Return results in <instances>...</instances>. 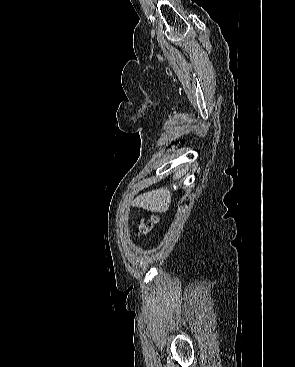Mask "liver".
I'll list each match as a JSON object with an SVG mask.
<instances>
[{
    "instance_id": "1",
    "label": "liver",
    "mask_w": 295,
    "mask_h": 367,
    "mask_svg": "<svg viewBox=\"0 0 295 367\" xmlns=\"http://www.w3.org/2000/svg\"><path fill=\"white\" fill-rule=\"evenodd\" d=\"M183 175V171H181ZM180 173L174 175V180L180 179ZM171 192L166 188H159L137 196L133 205L151 212L163 213L169 209L171 203Z\"/></svg>"
}]
</instances>
